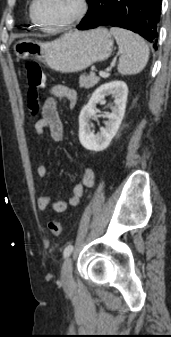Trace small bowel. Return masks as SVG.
Listing matches in <instances>:
<instances>
[{
	"mask_svg": "<svg viewBox=\"0 0 171 337\" xmlns=\"http://www.w3.org/2000/svg\"><path fill=\"white\" fill-rule=\"evenodd\" d=\"M57 99H65L70 107H74L78 100L77 92L66 85H55L46 98L43 107L41 118L35 123V133L42 141L44 132L48 130L52 141L58 142L63 138V124L57 108ZM43 155V152H40ZM38 176L42 179L47 177V168L44 164H40L37 168ZM95 172L92 168H86L83 172L81 181L74 185L72 194L67 200L53 201L50 195H42L39 197L37 205L41 210L51 209L54 212H63L69 206L78 205L84 189L94 185Z\"/></svg>",
	"mask_w": 171,
	"mask_h": 337,
	"instance_id": "small-bowel-1",
	"label": "small bowel"
}]
</instances>
